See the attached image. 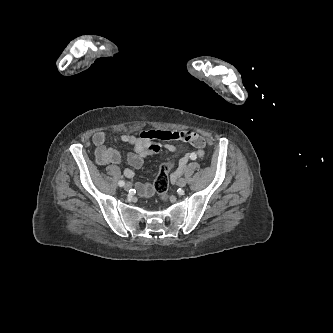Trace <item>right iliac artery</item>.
Here are the masks:
<instances>
[{
    "label": "right iliac artery",
    "instance_id": "82829eb1",
    "mask_svg": "<svg viewBox=\"0 0 333 333\" xmlns=\"http://www.w3.org/2000/svg\"><path fill=\"white\" fill-rule=\"evenodd\" d=\"M118 185H119L120 187H122V186L125 185V182H124L123 180H121V181L118 182Z\"/></svg>",
    "mask_w": 333,
    "mask_h": 333
}]
</instances>
